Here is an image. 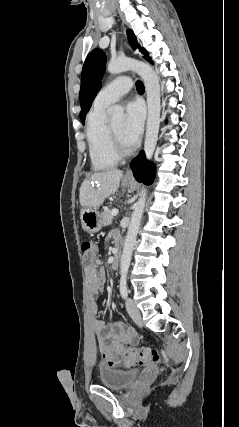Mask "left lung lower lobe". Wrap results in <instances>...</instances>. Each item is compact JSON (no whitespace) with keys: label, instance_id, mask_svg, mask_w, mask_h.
Listing matches in <instances>:
<instances>
[{"label":"left lung lower lobe","instance_id":"0a47b994","mask_svg":"<svg viewBox=\"0 0 239 427\" xmlns=\"http://www.w3.org/2000/svg\"><path fill=\"white\" fill-rule=\"evenodd\" d=\"M131 169L138 182L150 184L154 178V166L145 159L144 152H141L132 162Z\"/></svg>","mask_w":239,"mask_h":427}]
</instances>
